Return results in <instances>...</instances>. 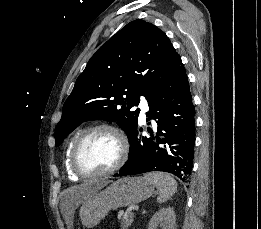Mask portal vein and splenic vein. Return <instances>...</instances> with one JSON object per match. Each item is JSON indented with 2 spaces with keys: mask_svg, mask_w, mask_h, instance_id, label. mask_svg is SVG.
<instances>
[{
  "mask_svg": "<svg viewBox=\"0 0 261 229\" xmlns=\"http://www.w3.org/2000/svg\"><path fill=\"white\" fill-rule=\"evenodd\" d=\"M147 214H148V211H147V210H144L143 213L140 214V217H141V218H144L145 215H147ZM124 219H127V217H124Z\"/></svg>",
  "mask_w": 261,
  "mask_h": 229,
  "instance_id": "1",
  "label": "portal vein and splenic vein"
}]
</instances>
